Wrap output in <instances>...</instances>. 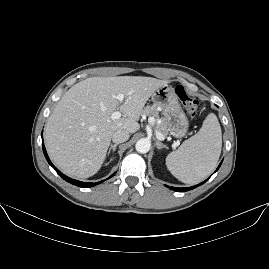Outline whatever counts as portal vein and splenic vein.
<instances>
[{
    "label": "portal vein and splenic vein",
    "instance_id": "obj_1",
    "mask_svg": "<svg viewBox=\"0 0 269 269\" xmlns=\"http://www.w3.org/2000/svg\"><path fill=\"white\" fill-rule=\"evenodd\" d=\"M117 99L120 101V102H123L124 101V95L123 94H119L117 96ZM112 117L114 119H119L122 117V113L121 111H115L113 114H112ZM147 122H148V126L149 127H154L155 126V122H156V119L155 117L153 116H150L148 117L147 119ZM154 134H155V137L158 139V140H163L164 139V136L163 134L157 129L154 127Z\"/></svg>",
    "mask_w": 269,
    "mask_h": 269
}]
</instances>
